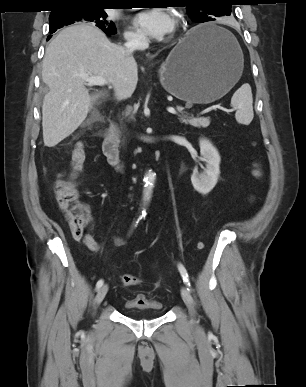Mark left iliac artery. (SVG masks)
Masks as SVG:
<instances>
[{
	"label": "left iliac artery",
	"mask_w": 306,
	"mask_h": 387,
	"mask_svg": "<svg viewBox=\"0 0 306 387\" xmlns=\"http://www.w3.org/2000/svg\"><path fill=\"white\" fill-rule=\"evenodd\" d=\"M178 269H179V272L182 276L184 284L188 287V290H191L189 276H188L186 269L184 268V266L182 264H178Z\"/></svg>",
	"instance_id": "44dca946"
}]
</instances>
